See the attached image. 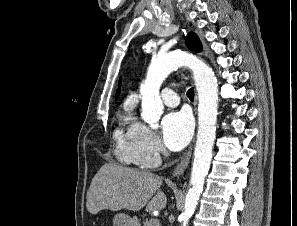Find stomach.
I'll return each instance as SVG.
<instances>
[{
    "instance_id": "1",
    "label": "stomach",
    "mask_w": 297,
    "mask_h": 226,
    "mask_svg": "<svg viewBox=\"0 0 297 226\" xmlns=\"http://www.w3.org/2000/svg\"><path fill=\"white\" fill-rule=\"evenodd\" d=\"M114 226H140L137 218L130 217L124 213L115 215L113 220Z\"/></svg>"
}]
</instances>
